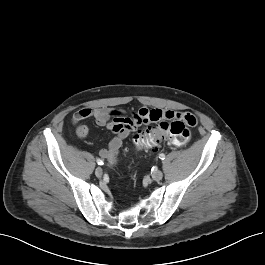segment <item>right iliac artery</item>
Instances as JSON below:
<instances>
[{
    "label": "right iliac artery",
    "mask_w": 265,
    "mask_h": 265,
    "mask_svg": "<svg viewBox=\"0 0 265 265\" xmlns=\"http://www.w3.org/2000/svg\"><path fill=\"white\" fill-rule=\"evenodd\" d=\"M96 162L98 163V165H103L104 164L103 160H101L99 158L96 160Z\"/></svg>",
    "instance_id": "1"
}]
</instances>
